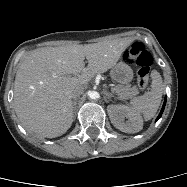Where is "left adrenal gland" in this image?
<instances>
[{
  "instance_id": "left-adrenal-gland-1",
  "label": "left adrenal gland",
  "mask_w": 187,
  "mask_h": 187,
  "mask_svg": "<svg viewBox=\"0 0 187 187\" xmlns=\"http://www.w3.org/2000/svg\"><path fill=\"white\" fill-rule=\"evenodd\" d=\"M104 94H105V96H106L107 99H110L111 97L117 98V97H115L112 93H109V92H107V91H104Z\"/></svg>"
}]
</instances>
